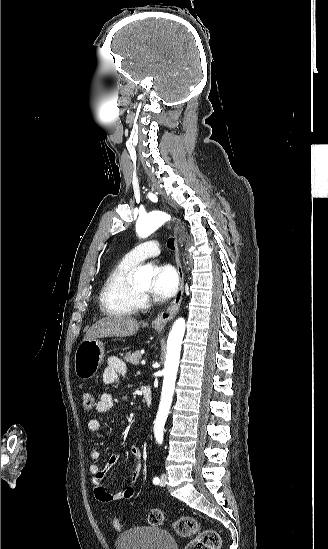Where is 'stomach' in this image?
I'll return each mask as SVG.
<instances>
[{"label": "stomach", "mask_w": 328, "mask_h": 549, "mask_svg": "<svg viewBox=\"0 0 328 549\" xmlns=\"http://www.w3.org/2000/svg\"><path fill=\"white\" fill-rule=\"evenodd\" d=\"M104 359V345L98 339L82 341L75 353V375L81 381H88L96 375Z\"/></svg>", "instance_id": "1"}]
</instances>
